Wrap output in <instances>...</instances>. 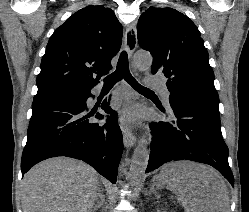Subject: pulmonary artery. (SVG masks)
Listing matches in <instances>:
<instances>
[{
    "instance_id": "1",
    "label": "pulmonary artery",
    "mask_w": 249,
    "mask_h": 212,
    "mask_svg": "<svg viewBox=\"0 0 249 212\" xmlns=\"http://www.w3.org/2000/svg\"><path fill=\"white\" fill-rule=\"evenodd\" d=\"M153 88H155L159 92L161 100L164 103V105L166 107H170V104H169L170 93H169L167 86L164 83H159L155 85Z\"/></svg>"
}]
</instances>
